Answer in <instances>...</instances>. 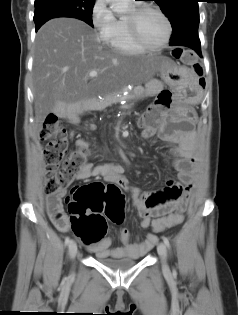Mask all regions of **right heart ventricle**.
<instances>
[{
  "label": "right heart ventricle",
  "mask_w": 238,
  "mask_h": 315,
  "mask_svg": "<svg viewBox=\"0 0 238 315\" xmlns=\"http://www.w3.org/2000/svg\"><path fill=\"white\" fill-rule=\"evenodd\" d=\"M104 41L111 49L121 54H140L145 51L131 40L127 15H119L115 19V23Z\"/></svg>",
  "instance_id": "right-heart-ventricle-1"
}]
</instances>
